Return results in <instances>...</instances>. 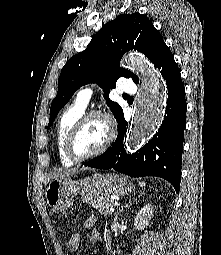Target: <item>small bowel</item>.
<instances>
[{
  "instance_id": "c3829d8e",
  "label": "small bowel",
  "mask_w": 221,
  "mask_h": 255,
  "mask_svg": "<svg viewBox=\"0 0 221 255\" xmlns=\"http://www.w3.org/2000/svg\"><path fill=\"white\" fill-rule=\"evenodd\" d=\"M88 225L92 227L91 241L97 242L101 238L100 221L95 218H91L88 221ZM79 243H80L79 234H73L70 236L68 240V245L70 249L75 250L79 246Z\"/></svg>"
}]
</instances>
